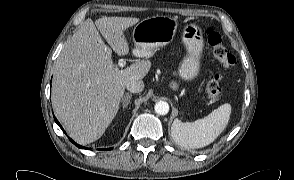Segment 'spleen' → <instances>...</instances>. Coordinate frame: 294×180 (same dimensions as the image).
<instances>
[{"instance_id":"3e777b00","label":"spleen","mask_w":294,"mask_h":180,"mask_svg":"<svg viewBox=\"0 0 294 180\" xmlns=\"http://www.w3.org/2000/svg\"><path fill=\"white\" fill-rule=\"evenodd\" d=\"M231 114V106L226 103L202 119L183 123L175 119L171 134L174 141L184 148H202L211 144L225 129Z\"/></svg>"}]
</instances>
